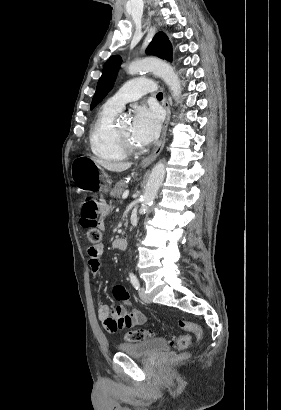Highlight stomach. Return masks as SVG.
I'll list each match as a JSON object with an SVG mask.
<instances>
[{
  "instance_id": "stomach-1",
  "label": "stomach",
  "mask_w": 281,
  "mask_h": 410,
  "mask_svg": "<svg viewBox=\"0 0 281 410\" xmlns=\"http://www.w3.org/2000/svg\"><path fill=\"white\" fill-rule=\"evenodd\" d=\"M72 180L81 191L108 192L111 180L91 157H78L71 165Z\"/></svg>"
}]
</instances>
